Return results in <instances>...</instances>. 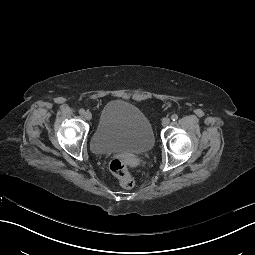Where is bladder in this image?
<instances>
[{"label": "bladder", "instance_id": "1", "mask_svg": "<svg viewBox=\"0 0 255 255\" xmlns=\"http://www.w3.org/2000/svg\"><path fill=\"white\" fill-rule=\"evenodd\" d=\"M154 136L148 118L135 106L122 100L109 102L91 137L94 153L112 151L145 153L152 149Z\"/></svg>", "mask_w": 255, "mask_h": 255}]
</instances>
